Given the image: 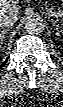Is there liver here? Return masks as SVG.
<instances>
[{"instance_id":"liver-1","label":"liver","mask_w":63,"mask_h":107,"mask_svg":"<svg viewBox=\"0 0 63 107\" xmlns=\"http://www.w3.org/2000/svg\"><path fill=\"white\" fill-rule=\"evenodd\" d=\"M16 3H17L16 1L1 0L0 12L1 10H7L17 14L19 12V7L16 5Z\"/></svg>"}]
</instances>
